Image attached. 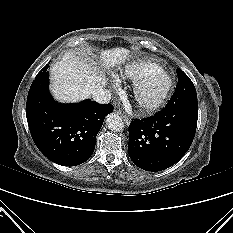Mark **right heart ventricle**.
<instances>
[{"label": "right heart ventricle", "instance_id": "1", "mask_svg": "<svg viewBox=\"0 0 233 233\" xmlns=\"http://www.w3.org/2000/svg\"><path fill=\"white\" fill-rule=\"evenodd\" d=\"M161 66L151 60H140L126 65L120 71V77L133 82L138 81L152 70L159 69Z\"/></svg>", "mask_w": 233, "mask_h": 233}]
</instances>
